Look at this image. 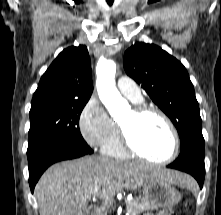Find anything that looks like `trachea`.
<instances>
[{"label": "trachea", "instance_id": "obj_1", "mask_svg": "<svg viewBox=\"0 0 221 215\" xmlns=\"http://www.w3.org/2000/svg\"><path fill=\"white\" fill-rule=\"evenodd\" d=\"M113 1L114 0H107L108 5L111 6L113 4Z\"/></svg>", "mask_w": 221, "mask_h": 215}]
</instances>
